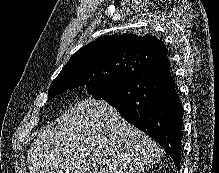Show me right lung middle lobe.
<instances>
[{"label":"right lung middle lobe","instance_id":"dd1d6c3e","mask_svg":"<svg viewBox=\"0 0 219 173\" xmlns=\"http://www.w3.org/2000/svg\"><path fill=\"white\" fill-rule=\"evenodd\" d=\"M134 68V65L126 62H115L81 74L66 72L53 81L48 99L67 89L84 86L93 98L105 100L121 78Z\"/></svg>","mask_w":219,"mask_h":173}]
</instances>
